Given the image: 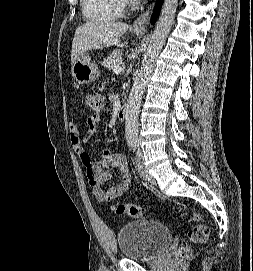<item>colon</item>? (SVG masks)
I'll return each mask as SVG.
<instances>
[{
	"mask_svg": "<svg viewBox=\"0 0 253 271\" xmlns=\"http://www.w3.org/2000/svg\"><path fill=\"white\" fill-rule=\"evenodd\" d=\"M87 103L91 110L95 113H100L104 107V99L98 93H88L86 96ZM113 211L116 214H125L132 218L141 216V208L135 204H117L113 206ZM193 226L187 231V239L191 243H204L209 236V228L202 222V217L199 213L193 212L190 216ZM190 254V249L186 245L180 246L177 251V257L180 260L187 258Z\"/></svg>",
	"mask_w": 253,
	"mask_h": 271,
	"instance_id": "colon-1",
	"label": "colon"
}]
</instances>
